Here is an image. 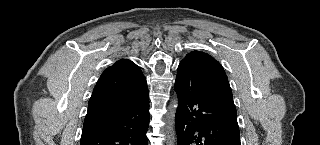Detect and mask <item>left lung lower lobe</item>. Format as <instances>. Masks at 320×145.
Returning <instances> with one entry per match:
<instances>
[{
  "label": "left lung lower lobe",
  "instance_id": "obj_1",
  "mask_svg": "<svg viewBox=\"0 0 320 145\" xmlns=\"http://www.w3.org/2000/svg\"><path fill=\"white\" fill-rule=\"evenodd\" d=\"M175 91L177 145H241L237 115L224 103L229 92L224 77L182 60Z\"/></svg>",
  "mask_w": 320,
  "mask_h": 145
}]
</instances>
